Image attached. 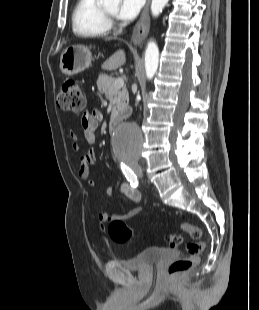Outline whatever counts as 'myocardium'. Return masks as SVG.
I'll list each match as a JSON object with an SVG mask.
<instances>
[{
    "label": "myocardium",
    "mask_w": 259,
    "mask_h": 310,
    "mask_svg": "<svg viewBox=\"0 0 259 310\" xmlns=\"http://www.w3.org/2000/svg\"><path fill=\"white\" fill-rule=\"evenodd\" d=\"M102 14L108 23L113 21L114 15L109 14L104 8L101 7Z\"/></svg>",
    "instance_id": "obj_1"
}]
</instances>
